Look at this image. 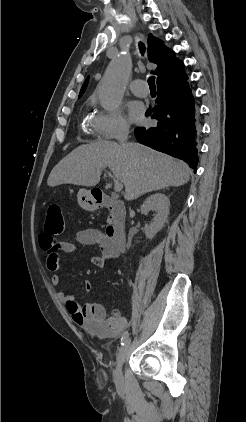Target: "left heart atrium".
I'll return each instance as SVG.
<instances>
[{"label": "left heart atrium", "instance_id": "1", "mask_svg": "<svg viewBox=\"0 0 246 422\" xmlns=\"http://www.w3.org/2000/svg\"><path fill=\"white\" fill-rule=\"evenodd\" d=\"M129 113L133 120L140 121L143 117L144 107L140 102H131L129 104Z\"/></svg>", "mask_w": 246, "mask_h": 422}]
</instances>
